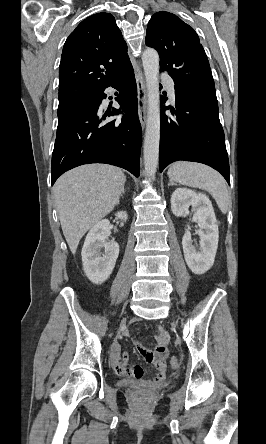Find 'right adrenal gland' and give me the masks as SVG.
Segmentation results:
<instances>
[{"mask_svg":"<svg viewBox=\"0 0 266 444\" xmlns=\"http://www.w3.org/2000/svg\"><path fill=\"white\" fill-rule=\"evenodd\" d=\"M124 194H125V189L123 188L120 197H122ZM119 202H120V201L118 200V201H117V205L119 204Z\"/></svg>","mask_w":266,"mask_h":444,"instance_id":"2a0ac1e0","label":"right adrenal gland"}]
</instances>
